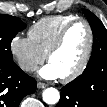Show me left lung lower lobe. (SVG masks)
Returning a JSON list of instances; mask_svg holds the SVG:
<instances>
[{
  "label": "left lung lower lobe",
  "mask_w": 107,
  "mask_h": 107,
  "mask_svg": "<svg viewBox=\"0 0 107 107\" xmlns=\"http://www.w3.org/2000/svg\"><path fill=\"white\" fill-rule=\"evenodd\" d=\"M100 66L90 86L73 81L64 86L56 107H107V65L102 58Z\"/></svg>",
  "instance_id": "left-lung-lower-lobe-1"
}]
</instances>
